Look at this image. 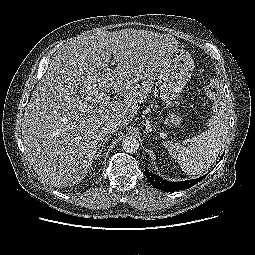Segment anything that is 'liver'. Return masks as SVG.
Returning a JSON list of instances; mask_svg holds the SVG:
<instances>
[{
	"label": "liver",
	"instance_id": "1",
	"mask_svg": "<svg viewBox=\"0 0 255 255\" xmlns=\"http://www.w3.org/2000/svg\"><path fill=\"white\" fill-rule=\"evenodd\" d=\"M177 50L172 35L136 29L88 32L63 46L36 85L22 121L25 151L40 179L58 188L84 179L106 124L112 120L124 128L132 121L157 72ZM111 57L115 69L109 68ZM111 90L120 97L101 105Z\"/></svg>",
	"mask_w": 255,
	"mask_h": 255
}]
</instances>
